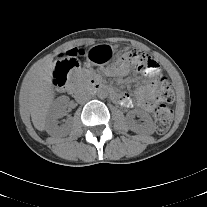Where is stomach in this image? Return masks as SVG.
<instances>
[{
    "instance_id": "obj_1",
    "label": "stomach",
    "mask_w": 207,
    "mask_h": 207,
    "mask_svg": "<svg viewBox=\"0 0 207 207\" xmlns=\"http://www.w3.org/2000/svg\"><path fill=\"white\" fill-rule=\"evenodd\" d=\"M113 54L112 46L108 44L95 45L92 51L88 54L90 62L94 64H105L107 63Z\"/></svg>"
}]
</instances>
